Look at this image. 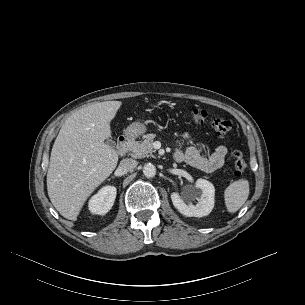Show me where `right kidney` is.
Wrapping results in <instances>:
<instances>
[{"label":"right kidney","mask_w":305,"mask_h":305,"mask_svg":"<svg viewBox=\"0 0 305 305\" xmlns=\"http://www.w3.org/2000/svg\"><path fill=\"white\" fill-rule=\"evenodd\" d=\"M116 187L105 186L95 194L89 201L88 207L91 213L104 215L113 206L116 198Z\"/></svg>","instance_id":"right-kidney-1"}]
</instances>
